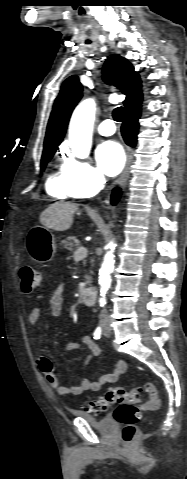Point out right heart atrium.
<instances>
[{
    "instance_id": "obj_1",
    "label": "right heart atrium",
    "mask_w": 187,
    "mask_h": 479,
    "mask_svg": "<svg viewBox=\"0 0 187 479\" xmlns=\"http://www.w3.org/2000/svg\"><path fill=\"white\" fill-rule=\"evenodd\" d=\"M62 174L74 197L87 198L94 196L105 184V177L100 169L89 162L73 157L65 159Z\"/></svg>"
}]
</instances>
